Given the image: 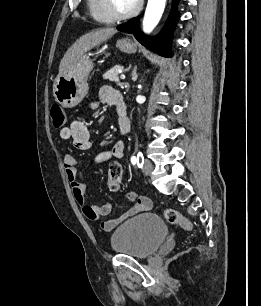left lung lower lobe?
Wrapping results in <instances>:
<instances>
[{"label": "left lung lower lobe", "instance_id": "left-lung-lower-lobe-1", "mask_svg": "<svg viewBox=\"0 0 261 306\" xmlns=\"http://www.w3.org/2000/svg\"><path fill=\"white\" fill-rule=\"evenodd\" d=\"M180 0H173L172 1V9L171 13L167 19V22L161 32V34L156 38H149L145 36L139 30V18H133L128 22L119 25L117 27L118 30L133 34L135 38L144 46L149 48L150 50L165 56L170 57L172 53L169 50L170 42H171V34L175 26V22L178 18L177 12V4Z\"/></svg>", "mask_w": 261, "mask_h": 306}]
</instances>
